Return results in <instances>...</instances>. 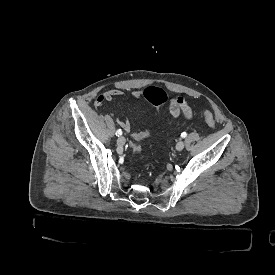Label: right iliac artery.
<instances>
[{
  "label": "right iliac artery",
  "mask_w": 275,
  "mask_h": 275,
  "mask_svg": "<svg viewBox=\"0 0 275 275\" xmlns=\"http://www.w3.org/2000/svg\"><path fill=\"white\" fill-rule=\"evenodd\" d=\"M116 135H117V136H121V135H122L121 129H118V130L116 131Z\"/></svg>",
  "instance_id": "1"
}]
</instances>
